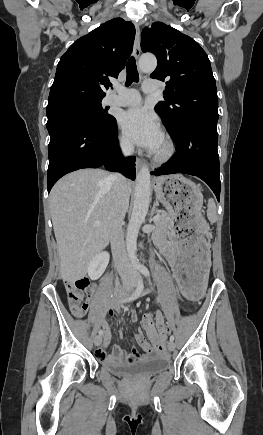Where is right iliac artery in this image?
I'll list each match as a JSON object with an SVG mask.
<instances>
[{
	"instance_id": "82829eb1",
	"label": "right iliac artery",
	"mask_w": 263,
	"mask_h": 435,
	"mask_svg": "<svg viewBox=\"0 0 263 435\" xmlns=\"http://www.w3.org/2000/svg\"><path fill=\"white\" fill-rule=\"evenodd\" d=\"M143 291V282L141 279L138 280V284H137V288L135 289V291L133 293H131L129 296L123 298L121 301L122 302H128V301H132L137 299L141 292ZM103 331L99 330V335H102Z\"/></svg>"
}]
</instances>
